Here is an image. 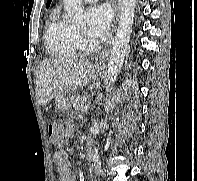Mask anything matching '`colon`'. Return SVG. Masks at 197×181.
<instances>
[{"mask_svg":"<svg viewBox=\"0 0 197 181\" xmlns=\"http://www.w3.org/2000/svg\"><path fill=\"white\" fill-rule=\"evenodd\" d=\"M48 134L51 140L56 144L59 145L63 141V132L60 125L56 123H51L48 125Z\"/></svg>","mask_w":197,"mask_h":181,"instance_id":"1","label":"colon"}]
</instances>
